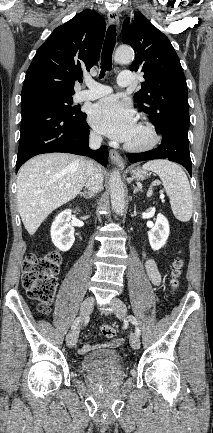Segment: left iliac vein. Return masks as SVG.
<instances>
[{"label":"left iliac vein","mask_w":213,"mask_h":433,"mask_svg":"<svg viewBox=\"0 0 213 433\" xmlns=\"http://www.w3.org/2000/svg\"><path fill=\"white\" fill-rule=\"evenodd\" d=\"M111 306L113 308L115 315L119 319H125L126 314H127V308H126V305L124 304V302L122 300H120L119 298H113L112 302H111ZM129 341H130V345L133 349H139V347H140L139 336L132 333L130 335Z\"/></svg>","instance_id":"1"}]
</instances>
